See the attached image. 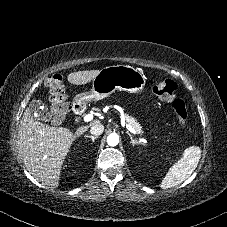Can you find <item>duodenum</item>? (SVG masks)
I'll use <instances>...</instances> for the list:
<instances>
[{
	"mask_svg": "<svg viewBox=\"0 0 227 227\" xmlns=\"http://www.w3.org/2000/svg\"><path fill=\"white\" fill-rule=\"evenodd\" d=\"M73 110L77 113V114H81L83 112V107L80 104H74L73 105Z\"/></svg>",
	"mask_w": 227,
	"mask_h": 227,
	"instance_id": "1",
	"label": "duodenum"
}]
</instances>
